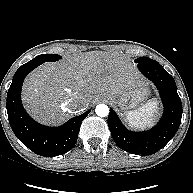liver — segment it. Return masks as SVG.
Instances as JSON below:
<instances>
[{
	"label": "liver",
	"mask_w": 193,
	"mask_h": 193,
	"mask_svg": "<svg viewBox=\"0 0 193 193\" xmlns=\"http://www.w3.org/2000/svg\"><path fill=\"white\" fill-rule=\"evenodd\" d=\"M142 83L123 58L107 52L70 57L60 63H46L24 81L22 100L29 112L44 123H60L77 109L70 99L79 98L85 107L107 92L120 93Z\"/></svg>",
	"instance_id": "liver-1"
}]
</instances>
